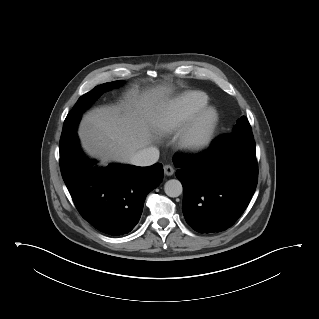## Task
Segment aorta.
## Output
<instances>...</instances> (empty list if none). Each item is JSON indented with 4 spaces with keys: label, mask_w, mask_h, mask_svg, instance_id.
Returning a JSON list of instances; mask_svg holds the SVG:
<instances>
[{
    "label": "aorta",
    "mask_w": 319,
    "mask_h": 319,
    "mask_svg": "<svg viewBox=\"0 0 319 319\" xmlns=\"http://www.w3.org/2000/svg\"><path fill=\"white\" fill-rule=\"evenodd\" d=\"M164 191L169 197H178L182 194L183 187L179 180H168L164 185Z\"/></svg>",
    "instance_id": "762f6f07"
}]
</instances>
